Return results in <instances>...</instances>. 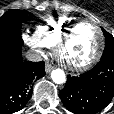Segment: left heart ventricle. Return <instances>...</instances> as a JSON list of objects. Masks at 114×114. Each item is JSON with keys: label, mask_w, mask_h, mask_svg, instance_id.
I'll use <instances>...</instances> for the list:
<instances>
[{"label": "left heart ventricle", "mask_w": 114, "mask_h": 114, "mask_svg": "<svg viewBox=\"0 0 114 114\" xmlns=\"http://www.w3.org/2000/svg\"><path fill=\"white\" fill-rule=\"evenodd\" d=\"M98 34L90 23H83L77 27L72 38L64 49V56L73 63L87 61L96 51Z\"/></svg>", "instance_id": "1"}]
</instances>
